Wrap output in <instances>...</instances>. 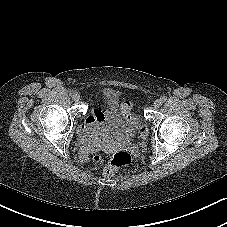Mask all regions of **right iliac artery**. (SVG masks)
I'll list each match as a JSON object with an SVG mask.
<instances>
[{
  "label": "right iliac artery",
  "mask_w": 227,
  "mask_h": 227,
  "mask_svg": "<svg viewBox=\"0 0 227 227\" xmlns=\"http://www.w3.org/2000/svg\"><path fill=\"white\" fill-rule=\"evenodd\" d=\"M69 94H70V96H73L74 91L73 90L69 91Z\"/></svg>",
  "instance_id": "obj_1"
}]
</instances>
